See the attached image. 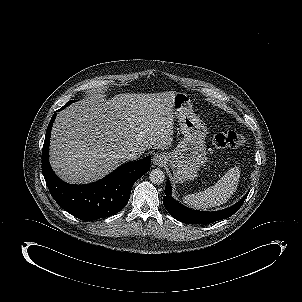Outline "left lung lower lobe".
Here are the masks:
<instances>
[{"label":"left lung lower lobe","instance_id":"0a47b994","mask_svg":"<svg viewBox=\"0 0 302 302\" xmlns=\"http://www.w3.org/2000/svg\"><path fill=\"white\" fill-rule=\"evenodd\" d=\"M247 194L232 207L221 211H195L184 207L172 198L171 185L169 182H167L165 187V196L163 197V204L166 210L170 213V215L180 222L187 224H206L226 219L232 216L242 206Z\"/></svg>","mask_w":302,"mask_h":302}]
</instances>
